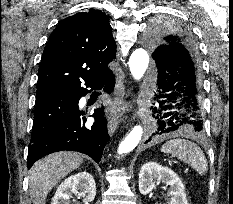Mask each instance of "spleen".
<instances>
[{
  "mask_svg": "<svg viewBox=\"0 0 233 204\" xmlns=\"http://www.w3.org/2000/svg\"><path fill=\"white\" fill-rule=\"evenodd\" d=\"M161 151L177 157L190 165L200 175H205L208 170L207 160L203 151L189 140L172 139L161 147Z\"/></svg>",
  "mask_w": 233,
  "mask_h": 204,
  "instance_id": "obj_1",
  "label": "spleen"
}]
</instances>
